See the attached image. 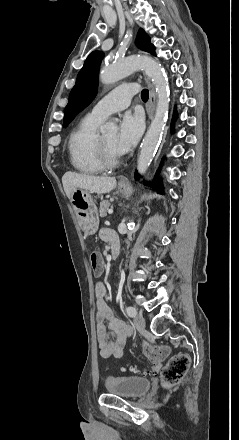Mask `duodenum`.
Returning <instances> with one entry per match:
<instances>
[{
  "mask_svg": "<svg viewBox=\"0 0 239 440\" xmlns=\"http://www.w3.org/2000/svg\"><path fill=\"white\" fill-rule=\"evenodd\" d=\"M119 254V243L118 242H113L111 244V256L112 258H116Z\"/></svg>",
  "mask_w": 239,
  "mask_h": 440,
  "instance_id": "410a0bca",
  "label": "duodenum"
}]
</instances>
